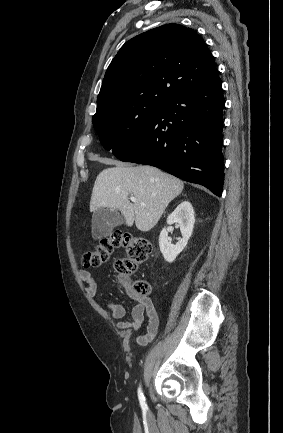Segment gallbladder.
Returning a JSON list of instances; mask_svg holds the SVG:
<instances>
[{
    "mask_svg": "<svg viewBox=\"0 0 283 433\" xmlns=\"http://www.w3.org/2000/svg\"><path fill=\"white\" fill-rule=\"evenodd\" d=\"M124 219L117 210L98 208L92 214V239H102L111 235L114 227L123 225Z\"/></svg>",
    "mask_w": 283,
    "mask_h": 433,
    "instance_id": "gallbladder-1",
    "label": "gallbladder"
}]
</instances>
